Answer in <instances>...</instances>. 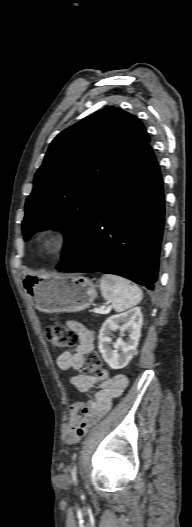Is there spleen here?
<instances>
[{"instance_id":"3e777b00","label":"spleen","mask_w":192,"mask_h":527,"mask_svg":"<svg viewBox=\"0 0 192 527\" xmlns=\"http://www.w3.org/2000/svg\"><path fill=\"white\" fill-rule=\"evenodd\" d=\"M100 290L105 300L112 303L117 312L136 306L142 300V291L129 280L105 274L100 279Z\"/></svg>"}]
</instances>
